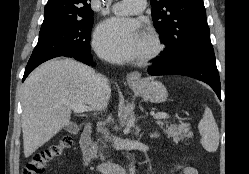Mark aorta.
Returning a JSON list of instances; mask_svg holds the SVG:
<instances>
[{
	"instance_id": "aorta-1",
	"label": "aorta",
	"mask_w": 249,
	"mask_h": 174,
	"mask_svg": "<svg viewBox=\"0 0 249 174\" xmlns=\"http://www.w3.org/2000/svg\"><path fill=\"white\" fill-rule=\"evenodd\" d=\"M129 171H130V174H134V167H133L132 164H131V167H130Z\"/></svg>"
}]
</instances>
